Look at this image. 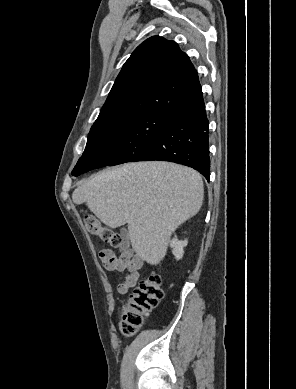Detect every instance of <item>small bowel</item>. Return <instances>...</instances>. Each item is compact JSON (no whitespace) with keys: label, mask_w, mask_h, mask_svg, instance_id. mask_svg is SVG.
<instances>
[{"label":"small bowel","mask_w":296,"mask_h":389,"mask_svg":"<svg viewBox=\"0 0 296 389\" xmlns=\"http://www.w3.org/2000/svg\"><path fill=\"white\" fill-rule=\"evenodd\" d=\"M99 257L103 266L109 271H128L124 279L118 284L119 293L125 294L136 285L139 271L143 266V260L138 254L131 249H125L119 256H116L111 250H103ZM110 258L112 264L108 263Z\"/></svg>","instance_id":"1"}]
</instances>
